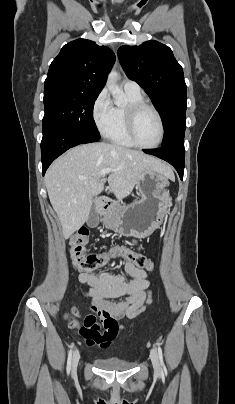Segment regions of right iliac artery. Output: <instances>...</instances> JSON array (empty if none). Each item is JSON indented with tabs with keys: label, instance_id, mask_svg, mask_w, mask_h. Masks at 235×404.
<instances>
[{
	"label": "right iliac artery",
	"instance_id": "obj_1",
	"mask_svg": "<svg viewBox=\"0 0 235 404\" xmlns=\"http://www.w3.org/2000/svg\"><path fill=\"white\" fill-rule=\"evenodd\" d=\"M73 349H74V344L70 345V351L68 353V359H67V373H70V369H71V360H72V353H73Z\"/></svg>",
	"mask_w": 235,
	"mask_h": 404
}]
</instances>
